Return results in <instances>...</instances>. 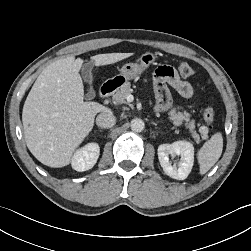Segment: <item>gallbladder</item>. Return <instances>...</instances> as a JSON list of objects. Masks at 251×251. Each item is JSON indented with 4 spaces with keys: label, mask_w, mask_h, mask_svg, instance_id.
I'll return each instance as SVG.
<instances>
[{
    "label": "gallbladder",
    "mask_w": 251,
    "mask_h": 251,
    "mask_svg": "<svg viewBox=\"0 0 251 251\" xmlns=\"http://www.w3.org/2000/svg\"><path fill=\"white\" fill-rule=\"evenodd\" d=\"M92 68H93V64L91 62H87L83 64L81 68L82 78L84 79L86 83L89 84V93L87 95L88 99H92L96 95L92 86V81H93Z\"/></svg>",
    "instance_id": "bac80fb5"
}]
</instances>
